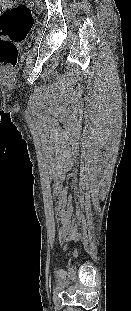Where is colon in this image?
<instances>
[{"label":"colon","mask_w":131,"mask_h":311,"mask_svg":"<svg viewBox=\"0 0 131 311\" xmlns=\"http://www.w3.org/2000/svg\"><path fill=\"white\" fill-rule=\"evenodd\" d=\"M33 15L25 4L0 0V68L11 69L17 62L16 43L24 40L33 25Z\"/></svg>","instance_id":"5ec220e1"}]
</instances>
